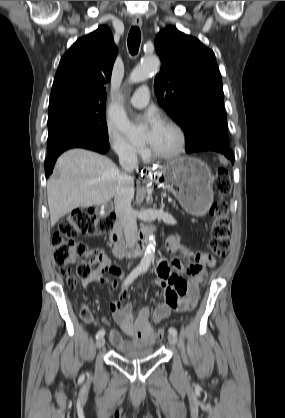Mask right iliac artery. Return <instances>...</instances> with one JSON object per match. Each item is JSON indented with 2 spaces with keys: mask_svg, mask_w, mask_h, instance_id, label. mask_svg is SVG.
Returning <instances> with one entry per match:
<instances>
[{
  "mask_svg": "<svg viewBox=\"0 0 285 418\" xmlns=\"http://www.w3.org/2000/svg\"><path fill=\"white\" fill-rule=\"evenodd\" d=\"M142 272V269L136 268L134 269L125 279L124 285L128 286L129 284H131L135 278L138 277V275ZM105 331L103 329L99 330L96 334V339H98L99 337L104 336Z\"/></svg>",
  "mask_w": 285,
  "mask_h": 418,
  "instance_id": "obj_1",
  "label": "right iliac artery"
}]
</instances>
